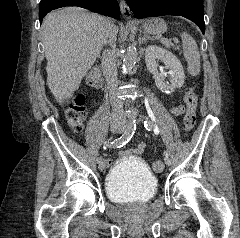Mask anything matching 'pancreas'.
Wrapping results in <instances>:
<instances>
[{
  "instance_id": "obj_1",
  "label": "pancreas",
  "mask_w": 240,
  "mask_h": 238,
  "mask_svg": "<svg viewBox=\"0 0 240 238\" xmlns=\"http://www.w3.org/2000/svg\"><path fill=\"white\" fill-rule=\"evenodd\" d=\"M167 48H170L171 43L168 41L167 43H163Z\"/></svg>"
}]
</instances>
